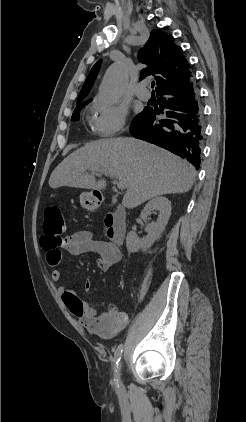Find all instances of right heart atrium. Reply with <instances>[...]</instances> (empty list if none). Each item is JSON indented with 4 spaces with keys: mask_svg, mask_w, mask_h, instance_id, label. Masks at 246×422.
I'll return each instance as SVG.
<instances>
[{
    "mask_svg": "<svg viewBox=\"0 0 246 422\" xmlns=\"http://www.w3.org/2000/svg\"><path fill=\"white\" fill-rule=\"evenodd\" d=\"M125 108L96 98L91 105L90 125L95 134L108 138L120 133L126 124Z\"/></svg>",
    "mask_w": 246,
    "mask_h": 422,
    "instance_id": "1",
    "label": "right heart atrium"
}]
</instances>
